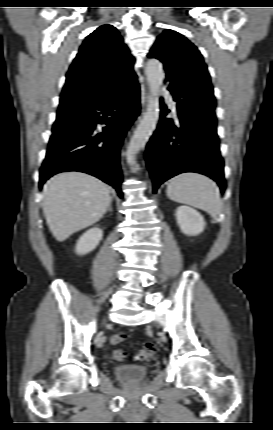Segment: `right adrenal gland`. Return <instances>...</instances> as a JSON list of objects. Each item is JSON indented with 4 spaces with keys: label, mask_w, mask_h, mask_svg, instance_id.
I'll return each mask as SVG.
<instances>
[{
    "label": "right adrenal gland",
    "mask_w": 273,
    "mask_h": 430,
    "mask_svg": "<svg viewBox=\"0 0 273 430\" xmlns=\"http://www.w3.org/2000/svg\"><path fill=\"white\" fill-rule=\"evenodd\" d=\"M108 210H109V211H112V207H111V206H109Z\"/></svg>",
    "instance_id": "2a0ac1e0"
}]
</instances>
